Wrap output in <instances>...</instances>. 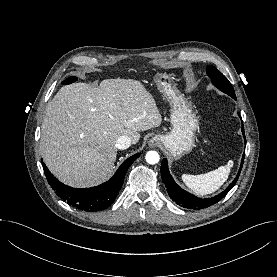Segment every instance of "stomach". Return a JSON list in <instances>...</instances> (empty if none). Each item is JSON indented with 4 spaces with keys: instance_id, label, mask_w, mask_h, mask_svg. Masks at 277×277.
Returning <instances> with one entry per match:
<instances>
[{
    "instance_id": "obj_1",
    "label": "stomach",
    "mask_w": 277,
    "mask_h": 277,
    "mask_svg": "<svg viewBox=\"0 0 277 277\" xmlns=\"http://www.w3.org/2000/svg\"><path fill=\"white\" fill-rule=\"evenodd\" d=\"M153 82L170 104L172 124L169 133L155 135L153 141L161 144L174 159H179L194 147L195 133L199 128L198 117L176 88L171 74L156 73Z\"/></svg>"
}]
</instances>
